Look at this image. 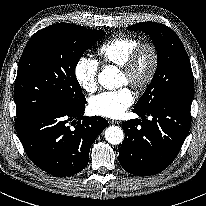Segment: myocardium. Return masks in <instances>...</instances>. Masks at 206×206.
<instances>
[{"mask_svg":"<svg viewBox=\"0 0 206 206\" xmlns=\"http://www.w3.org/2000/svg\"><path fill=\"white\" fill-rule=\"evenodd\" d=\"M144 51L150 55V66L147 73L138 78L136 74L140 57ZM159 65V51L151 41H140L129 54L125 64L121 67L122 74L127 79V84L137 91L145 89L154 79Z\"/></svg>","mask_w":206,"mask_h":206,"instance_id":"obj_1","label":"myocardium"}]
</instances>
